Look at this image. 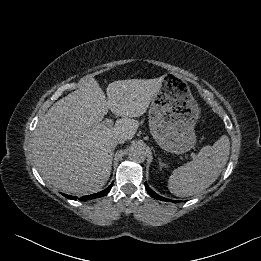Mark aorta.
<instances>
[{
  "mask_svg": "<svg viewBox=\"0 0 261 261\" xmlns=\"http://www.w3.org/2000/svg\"><path fill=\"white\" fill-rule=\"evenodd\" d=\"M129 158L134 162H144L146 159V151L143 146L136 144L129 150Z\"/></svg>",
  "mask_w": 261,
  "mask_h": 261,
  "instance_id": "obj_1",
  "label": "aorta"
}]
</instances>
